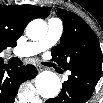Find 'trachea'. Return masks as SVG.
Listing matches in <instances>:
<instances>
[{"mask_svg": "<svg viewBox=\"0 0 103 103\" xmlns=\"http://www.w3.org/2000/svg\"><path fill=\"white\" fill-rule=\"evenodd\" d=\"M9 64L13 66H20L22 62L18 58H12L10 59Z\"/></svg>", "mask_w": 103, "mask_h": 103, "instance_id": "obj_1", "label": "trachea"}]
</instances>
